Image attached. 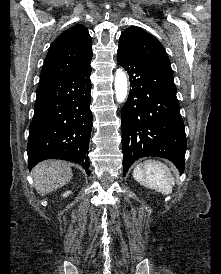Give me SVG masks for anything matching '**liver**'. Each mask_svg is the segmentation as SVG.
Segmentation results:
<instances>
[{
  "instance_id": "liver-1",
  "label": "liver",
  "mask_w": 221,
  "mask_h": 274,
  "mask_svg": "<svg viewBox=\"0 0 221 274\" xmlns=\"http://www.w3.org/2000/svg\"><path fill=\"white\" fill-rule=\"evenodd\" d=\"M36 191L45 196L71 181L70 164L59 160H47L36 165L32 172Z\"/></svg>"
}]
</instances>
